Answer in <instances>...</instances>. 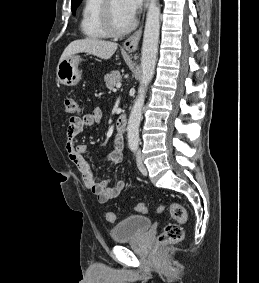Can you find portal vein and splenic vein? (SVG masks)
Instances as JSON below:
<instances>
[{"instance_id":"18ae733b","label":"portal vein and splenic vein","mask_w":259,"mask_h":283,"mask_svg":"<svg viewBox=\"0 0 259 283\" xmlns=\"http://www.w3.org/2000/svg\"><path fill=\"white\" fill-rule=\"evenodd\" d=\"M116 87H117V88H120V87H121V84H120V83H118V84L116 85Z\"/></svg>"}]
</instances>
